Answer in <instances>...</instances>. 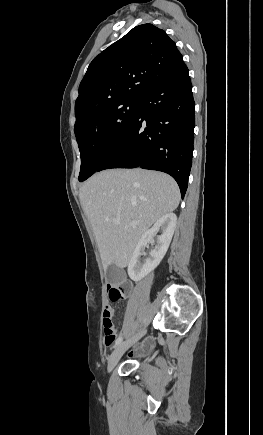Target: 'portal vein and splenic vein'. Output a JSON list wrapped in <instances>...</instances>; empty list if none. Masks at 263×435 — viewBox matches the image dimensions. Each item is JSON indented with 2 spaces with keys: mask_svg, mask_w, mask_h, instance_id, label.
<instances>
[{
  "mask_svg": "<svg viewBox=\"0 0 263 435\" xmlns=\"http://www.w3.org/2000/svg\"><path fill=\"white\" fill-rule=\"evenodd\" d=\"M113 222H114V224H119V223H120V221H119L118 219H114V220H113ZM131 225H133V226H134V225H135V223H131Z\"/></svg>",
  "mask_w": 263,
  "mask_h": 435,
  "instance_id": "1",
  "label": "portal vein and splenic vein"
}]
</instances>
